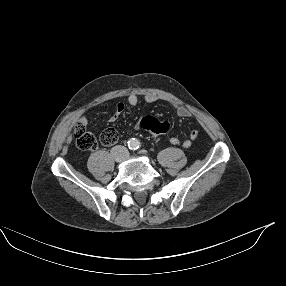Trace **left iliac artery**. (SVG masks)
Returning a JSON list of instances; mask_svg holds the SVG:
<instances>
[{
	"label": "left iliac artery",
	"mask_w": 286,
	"mask_h": 286,
	"mask_svg": "<svg viewBox=\"0 0 286 286\" xmlns=\"http://www.w3.org/2000/svg\"><path fill=\"white\" fill-rule=\"evenodd\" d=\"M139 147H140V143H138V144H137V147H136V149H137V148H139Z\"/></svg>",
	"instance_id": "left-iliac-artery-1"
}]
</instances>
